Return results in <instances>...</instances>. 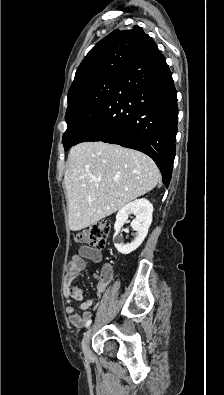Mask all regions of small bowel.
I'll use <instances>...</instances> for the list:
<instances>
[{
	"instance_id": "small-bowel-1",
	"label": "small bowel",
	"mask_w": 224,
	"mask_h": 395,
	"mask_svg": "<svg viewBox=\"0 0 224 395\" xmlns=\"http://www.w3.org/2000/svg\"><path fill=\"white\" fill-rule=\"evenodd\" d=\"M88 260L94 263L102 261L101 251L90 246H82L79 254L72 257L65 267V295L67 297L66 312L68 314L70 323L76 327L81 328L91 318L89 308L96 305V301L105 290L113 277L111 268H106L96 286V295L89 300H84V295L81 288L77 285H72V282L79 276L80 272L87 268ZM80 302V313L75 311L71 300Z\"/></svg>"
}]
</instances>
